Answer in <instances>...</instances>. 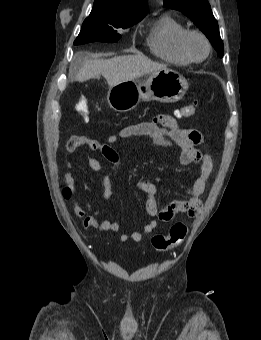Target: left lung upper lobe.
Returning <instances> with one entry per match:
<instances>
[{
  "label": "left lung upper lobe",
  "instance_id": "obj_1",
  "mask_svg": "<svg viewBox=\"0 0 261 340\" xmlns=\"http://www.w3.org/2000/svg\"><path fill=\"white\" fill-rule=\"evenodd\" d=\"M163 2L166 7L181 11L189 17L210 40L218 55L223 56L224 46L218 23L207 0H163Z\"/></svg>",
  "mask_w": 261,
  "mask_h": 340
}]
</instances>
